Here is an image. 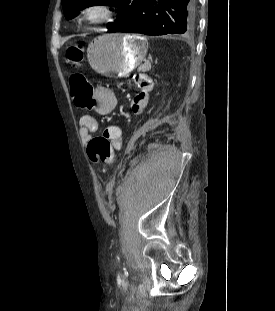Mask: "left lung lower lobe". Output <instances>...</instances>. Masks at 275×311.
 I'll return each mask as SVG.
<instances>
[{
	"mask_svg": "<svg viewBox=\"0 0 275 311\" xmlns=\"http://www.w3.org/2000/svg\"><path fill=\"white\" fill-rule=\"evenodd\" d=\"M196 0H143L136 17L118 30L146 35L190 34L195 28Z\"/></svg>",
	"mask_w": 275,
	"mask_h": 311,
	"instance_id": "left-lung-lower-lobe-1",
	"label": "left lung lower lobe"
}]
</instances>
